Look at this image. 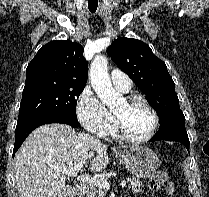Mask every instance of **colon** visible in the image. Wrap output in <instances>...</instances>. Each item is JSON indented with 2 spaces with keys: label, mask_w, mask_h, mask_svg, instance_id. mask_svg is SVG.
<instances>
[{
  "label": "colon",
  "mask_w": 209,
  "mask_h": 197,
  "mask_svg": "<svg viewBox=\"0 0 209 197\" xmlns=\"http://www.w3.org/2000/svg\"><path fill=\"white\" fill-rule=\"evenodd\" d=\"M148 186L152 191H158L165 188L169 193L173 192V183L165 172H156L150 178Z\"/></svg>",
  "instance_id": "5ec220e1"
}]
</instances>
